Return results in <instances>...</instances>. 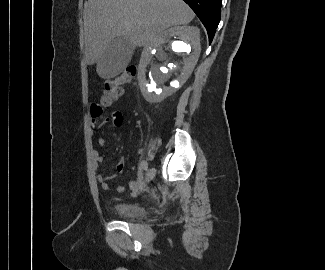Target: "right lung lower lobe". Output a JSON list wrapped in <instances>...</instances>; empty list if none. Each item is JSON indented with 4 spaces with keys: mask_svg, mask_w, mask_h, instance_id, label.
Instances as JSON below:
<instances>
[{
    "mask_svg": "<svg viewBox=\"0 0 325 270\" xmlns=\"http://www.w3.org/2000/svg\"><path fill=\"white\" fill-rule=\"evenodd\" d=\"M205 26L209 43L212 41L221 17L222 0H184Z\"/></svg>",
    "mask_w": 325,
    "mask_h": 270,
    "instance_id": "1",
    "label": "right lung lower lobe"
}]
</instances>
